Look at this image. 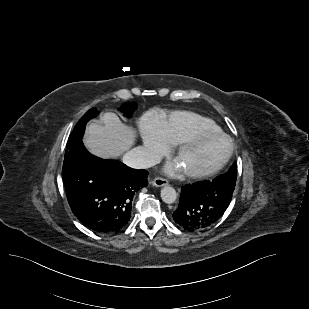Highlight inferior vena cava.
Masks as SVG:
<instances>
[{"instance_id":"602c4592","label":"inferior vena cava","mask_w":309,"mask_h":309,"mask_svg":"<svg viewBox=\"0 0 309 309\" xmlns=\"http://www.w3.org/2000/svg\"><path fill=\"white\" fill-rule=\"evenodd\" d=\"M159 161L160 158L156 154L141 147L134 148L123 156V162L135 169H146L158 164Z\"/></svg>"}]
</instances>
